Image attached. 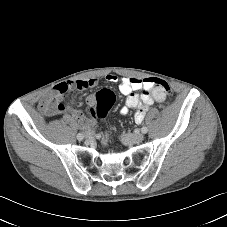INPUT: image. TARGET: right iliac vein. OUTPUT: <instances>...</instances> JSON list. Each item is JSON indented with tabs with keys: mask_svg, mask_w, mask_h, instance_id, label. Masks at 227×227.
<instances>
[{
	"mask_svg": "<svg viewBox=\"0 0 227 227\" xmlns=\"http://www.w3.org/2000/svg\"><path fill=\"white\" fill-rule=\"evenodd\" d=\"M85 138L88 140V141H91L93 139V133L92 132H87L86 135H85Z\"/></svg>",
	"mask_w": 227,
	"mask_h": 227,
	"instance_id": "63e3f726",
	"label": "right iliac vein"
}]
</instances>
